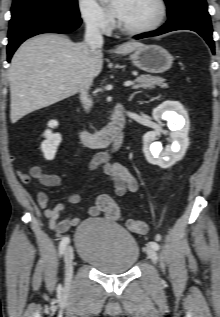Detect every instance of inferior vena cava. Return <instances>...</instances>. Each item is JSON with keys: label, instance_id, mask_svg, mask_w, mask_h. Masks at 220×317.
Wrapping results in <instances>:
<instances>
[{"label": "inferior vena cava", "instance_id": "602c4592", "mask_svg": "<svg viewBox=\"0 0 220 317\" xmlns=\"http://www.w3.org/2000/svg\"><path fill=\"white\" fill-rule=\"evenodd\" d=\"M84 42L90 50H95L101 48L103 45V36L100 32L98 23L96 20H89L86 23V30L84 36ZM90 84L85 83L80 89V100L83 104V107L88 111L92 106V99L89 97L88 90Z\"/></svg>", "mask_w": 220, "mask_h": 317}]
</instances>
